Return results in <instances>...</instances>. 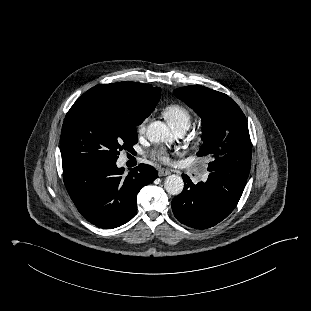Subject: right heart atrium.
<instances>
[{"instance_id": "d8ad5b80", "label": "right heart atrium", "mask_w": 311, "mask_h": 311, "mask_svg": "<svg viewBox=\"0 0 311 311\" xmlns=\"http://www.w3.org/2000/svg\"><path fill=\"white\" fill-rule=\"evenodd\" d=\"M146 128V119H143L142 121H140V123L137 125V131L139 133H143L145 131Z\"/></svg>"}]
</instances>
